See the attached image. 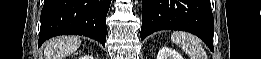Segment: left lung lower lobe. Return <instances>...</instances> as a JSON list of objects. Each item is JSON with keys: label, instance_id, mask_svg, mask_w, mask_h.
Segmentation results:
<instances>
[{"label": "left lung lower lobe", "instance_id": "left-lung-lower-lobe-1", "mask_svg": "<svg viewBox=\"0 0 261 59\" xmlns=\"http://www.w3.org/2000/svg\"><path fill=\"white\" fill-rule=\"evenodd\" d=\"M159 30L190 32L214 51L210 0H142L141 40Z\"/></svg>", "mask_w": 261, "mask_h": 59}]
</instances>
